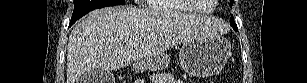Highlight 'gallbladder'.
Returning <instances> with one entry per match:
<instances>
[{"instance_id": "gallbladder-1", "label": "gallbladder", "mask_w": 307, "mask_h": 83, "mask_svg": "<svg viewBox=\"0 0 307 83\" xmlns=\"http://www.w3.org/2000/svg\"><path fill=\"white\" fill-rule=\"evenodd\" d=\"M113 75L100 69H90L85 72L80 83H112Z\"/></svg>"}]
</instances>
